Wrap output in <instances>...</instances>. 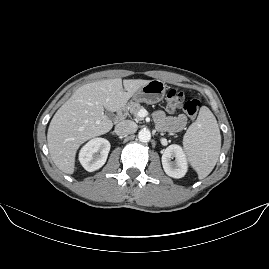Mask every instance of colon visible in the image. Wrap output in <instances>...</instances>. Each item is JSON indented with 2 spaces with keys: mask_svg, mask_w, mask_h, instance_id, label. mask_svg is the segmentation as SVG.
I'll list each match as a JSON object with an SVG mask.
<instances>
[{
  "mask_svg": "<svg viewBox=\"0 0 269 269\" xmlns=\"http://www.w3.org/2000/svg\"><path fill=\"white\" fill-rule=\"evenodd\" d=\"M201 103L197 98L185 99V95L178 89H170L166 94V107L170 112L184 110L190 119H196Z\"/></svg>",
  "mask_w": 269,
  "mask_h": 269,
  "instance_id": "colon-1",
  "label": "colon"
}]
</instances>
